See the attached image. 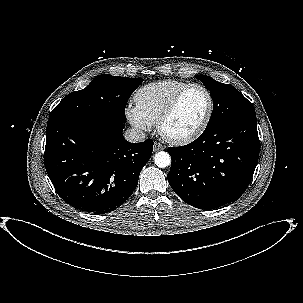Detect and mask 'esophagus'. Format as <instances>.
I'll use <instances>...</instances> for the list:
<instances>
[{
    "instance_id": "1",
    "label": "esophagus",
    "mask_w": 303,
    "mask_h": 303,
    "mask_svg": "<svg viewBox=\"0 0 303 303\" xmlns=\"http://www.w3.org/2000/svg\"><path fill=\"white\" fill-rule=\"evenodd\" d=\"M165 149V146L158 143V142H155L154 143V151H159V150H164Z\"/></svg>"
}]
</instances>
